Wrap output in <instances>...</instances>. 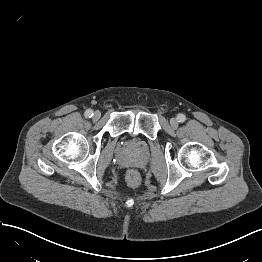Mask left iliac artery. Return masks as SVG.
Masks as SVG:
<instances>
[{"mask_svg": "<svg viewBox=\"0 0 262 262\" xmlns=\"http://www.w3.org/2000/svg\"><path fill=\"white\" fill-rule=\"evenodd\" d=\"M177 119L179 120V122H184V121L186 120V117H185V115H183V114H179V115L177 116Z\"/></svg>", "mask_w": 262, "mask_h": 262, "instance_id": "obj_1", "label": "left iliac artery"}]
</instances>
